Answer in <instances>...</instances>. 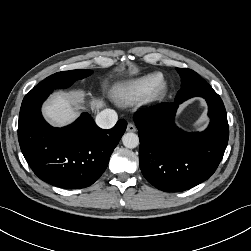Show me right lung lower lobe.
Returning a JSON list of instances; mask_svg holds the SVG:
<instances>
[{
  "label": "right lung lower lobe",
  "instance_id": "1",
  "mask_svg": "<svg viewBox=\"0 0 251 251\" xmlns=\"http://www.w3.org/2000/svg\"><path fill=\"white\" fill-rule=\"evenodd\" d=\"M52 91L32 89L25 95L18 122L21 151L41 180L66 189L88 187L107 168L127 122L121 119L103 130L84 113L73 124L54 128L41 114V105Z\"/></svg>",
  "mask_w": 251,
  "mask_h": 251
}]
</instances>
